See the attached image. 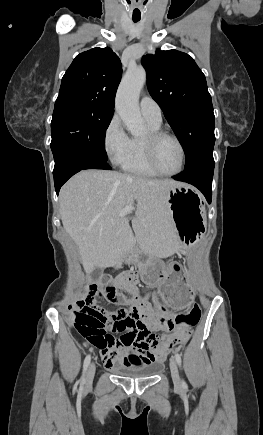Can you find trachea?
I'll return each mask as SVG.
<instances>
[{"instance_id":"trachea-1","label":"trachea","mask_w":263,"mask_h":435,"mask_svg":"<svg viewBox=\"0 0 263 435\" xmlns=\"http://www.w3.org/2000/svg\"><path fill=\"white\" fill-rule=\"evenodd\" d=\"M133 21L136 23V22H138L139 20H138V19H134Z\"/></svg>"}]
</instances>
